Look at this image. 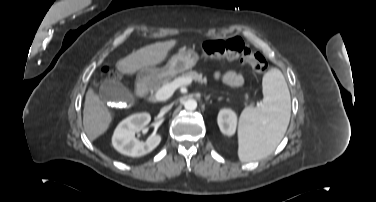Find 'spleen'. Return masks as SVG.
<instances>
[{"label":"spleen","mask_w":376,"mask_h":202,"mask_svg":"<svg viewBox=\"0 0 376 202\" xmlns=\"http://www.w3.org/2000/svg\"><path fill=\"white\" fill-rule=\"evenodd\" d=\"M262 86L261 104L244 109L239 118L238 156L243 162L258 160L273 152L290 121V93L282 72L270 69L263 76Z\"/></svg>","instance_id":"1"}]
</instances>
